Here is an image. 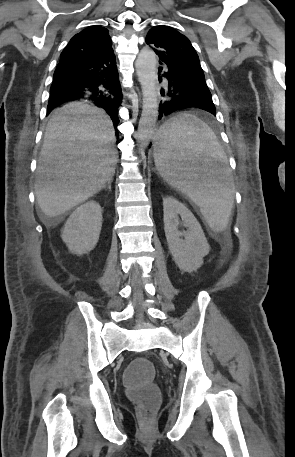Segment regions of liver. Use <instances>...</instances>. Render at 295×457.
I'll return each instance as SVG.
<instances>
[{
  "mask_svg": "<svg viewBox=\"0 0 295 457\" xmlns=\"http://www.w3.org/2000/svg\"><path fill=\"white\" fill-rule=\"evenodd\" d=\"M115 131L104 110L71 102L54 110L44 135L35 180L42 212L56 218L113 179Z\"/></svg>",
  "mask_w": 295,
  "mask_h": 457,
  "instance_id": "liver-1",
  "label": "liver"
}]
</instances>
